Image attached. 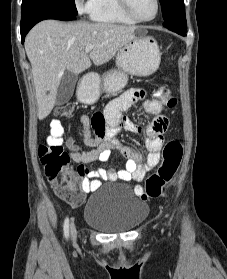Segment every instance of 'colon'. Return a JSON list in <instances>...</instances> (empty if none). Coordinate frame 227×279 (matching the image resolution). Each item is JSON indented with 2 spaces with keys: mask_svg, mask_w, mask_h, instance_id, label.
<instances>
[{
  "mask_svg": "<svg viewBox=\"0 0 227 279\" xmlns=\"http://www.w3.org/2000/svg\"><path fill=\"white\" fill-rule=\"evenodd\" d=\"M161 80L163 84L158 91V97L166 107L173 108L177 105L178 100L166 86L167 77L162 76ZM74 111L73 105H64L59 109V117L67 119L72 116ZM93 123L98 132L103 131L104 119L101 114L95 113L93 115ZM52 125L54 128L51 129L47 143L38 147V157L58 196L69 204H77L80 202L78 181L69 173L62 171L71 161L70 154L65 152L61 146L62 122L57 119L52 122ZM162 155L158 169L147 178L144 188L136 193L142 200L156 199L162 196L164 187L173 179L181 163L183 155L181 142L169 140ZM60 175H64V177L60 178Z\"/></svg>",
  "mask_w": 227,
  "mask_h": 279,
  "instance_id": "obj_1",
  "label": "colon"
}]
</instances>
